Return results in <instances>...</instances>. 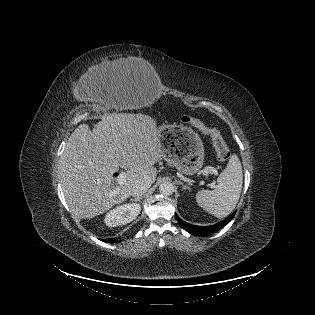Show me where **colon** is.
I'll return each instance as SVG.
<instances>
[{
  "label": "colon",
  "instance_id": "1",
  "mask_svg": "<svg viewBox=\"0 0 315 315\" xmlns=\"http://www.w3.org/2000/svg\"><path fill=\"white\" fill-rule=\"evenodd\" d=\"M182 120L210 137L219 161L223 162L229 159L231 155L230 149L218 130L206 126L201 120L192 116H184Z\"/></svg>",
  "mask_w": 315,
  "mask_h": 315
}]
</instances>
